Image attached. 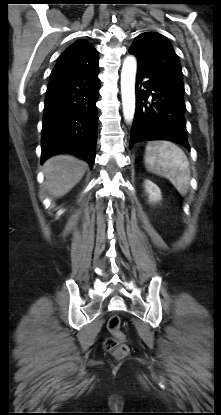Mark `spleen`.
Wrapping results in <instances>:
<instances>
[{"instance_id":"1","label":"spleen","mask_w":221,"mask_h":415,"mask_svg":"<svg viewBox=\"0 0 221 415\" xmlns=\"http://www.w3.org/2000/svg\"><path fill=\"white\" fill-rule=\"evenodd\" d=\"M145 165L148 171L169 179L182 196L187 194L190 181L189 161L180 147L169 141L148 143Z\"/></svg>"}]
</instances>
